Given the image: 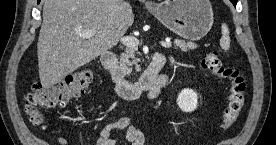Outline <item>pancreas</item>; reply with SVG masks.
Instances as JSON below:
<instances>
[{"label":"pancreas","instance_id":"cf45deb5","mask_svg":"<svg viewBox=\"0 0 276 145\" xmlns=\"http://www.w3.org/2000/svg\"><path fill=\"white\" fill-rule=\"evenodd\" d=\"M176 49H180L183 52H187L189 50H193L197 48V45L193 42H185L184 40L176 39L174 41ZM135 47H127L125 53L121 54L120 58V66L121 69L126 73L131 70V66H135L136 71L140 70V66L138 65V59L136 58Z\"/></svg>","mask_w":276,"mask_h":145}]
</instances>
